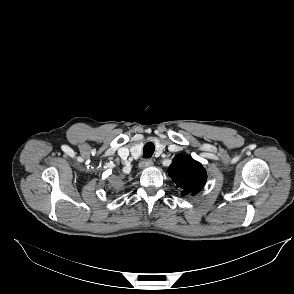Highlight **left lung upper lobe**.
I'll return each instance as SVG.
<instances>
[{
  "mask_svg": "<svg viewBox=\"0 0 294 294\" xmlns=\"http://www.w3.org/2000/svg\"><path fill=\"white\" fill-rule=\"evenodd\" d=\"M169 176L183 189L182 195L196 194L206 183V171L193 158L179 154L175 157L169 169Z\"/></svg>",
  "mask_w": 294,
  "mask_h": 294,
  "instance_id": "obj_1",
  "label": "left lung upper lobe"
}]
</instances>
